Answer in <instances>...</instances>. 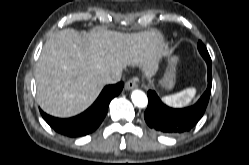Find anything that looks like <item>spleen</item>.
I'll return each instance as SVG.
<instances>
[{
	"mask_svg": "<svg viewBox=\"0 0 249 165\" xmlns=\"http://www.w3.org/2000/svg\"><path fill=\"white\" fill-rule=\"evenodd\" d=\"M195 94V88H187L179 93L164 97L163 102L169 106L182 107L188 105Z\"/></svg>",
	"mask_w": 249,
	"mask_h": 165,
	"instance_id": "obj_1",
	"label": "spleen"
}]
</instances>
